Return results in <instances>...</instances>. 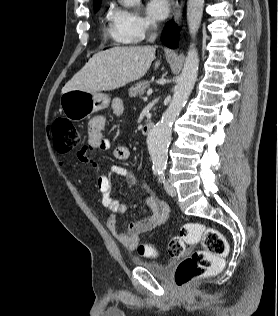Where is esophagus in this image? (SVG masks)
<instances>
[{"label": "esophagus", "mask_w": 278, "mask_h": 316, "mask_svg": "<svg viewBox=\"0 0 278 316\" xmlns=\"http://www.w3.org/2000/svg\"><path fill=\"white\" fill-rule=\"evenodd\" d=\"M184 0H175L174 2V13L173 18L176 24L180 23L182 17V8H183Z\"/></svg>", "instance_id": "34e87169"}]
</instances>
